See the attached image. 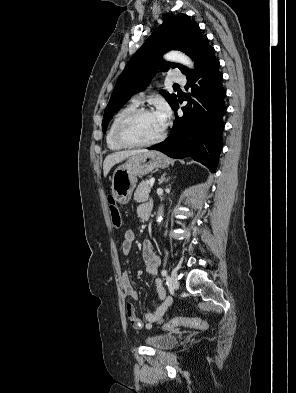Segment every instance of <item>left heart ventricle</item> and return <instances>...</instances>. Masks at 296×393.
I'll list each match as a JSON object with an SVG mask.
<instances>
[{
	"instance_id": "left-heart-ventricle-1",
	"label": "left heart ventricle",
	"mask_w": 296,
	"mask_h": 393,
	"mask_svg": "<svg viewBox=\"0 0 296 393\" xmlns=\"http://www.w3.org/2000/svg\"><path fill=\"white\" fill-rule=\"evenodd\" d=\"M163 128L154 112L142 114L127 128L126 135L132 141L145 142L157 137Z\"/></svg>"
}]
</instances>
